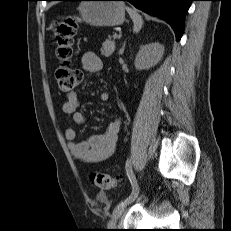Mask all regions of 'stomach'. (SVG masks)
I'll list each match as a JSON object with an SVG mask.
<instances>
[{"label": "stomach", "mask_w": 231, "mask_h": 231, "mask_svg": "<svg viewBox=\"0 0 231 231\" xmlns=\"http://www.w3.org/2000/svg\"><path fill=\"white\" fill-rule=\"evenodd\" d=\"M82 19L97 27L121 25L125 20L124 5L111 0H87L78 7Z\"/></svg>", "instance_id": "1"}]
</instances>
